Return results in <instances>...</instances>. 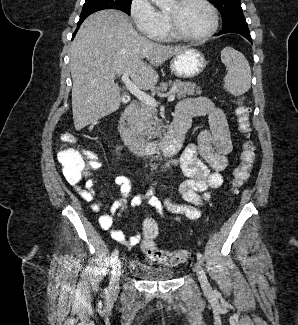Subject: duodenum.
<instances>
[{"instance_id":"duodenum-1","label":"duodenum","mask_w":298,"mask_h":325,"mask_svg":"<svg viewBox=\"0 0 298 325\" xmlns=\"http://www.w3.org/2000/svg\"><path fill=\"white\" fill-rule=\"evenodd\" d=\"M137 102L129 104L121 114L118 130L124 144L140 156H173L182 146L184 135L190 127L194 116L202 114L201 108L188 101L181 102L176 108L173 122L164 138L157 142L140 139L130 128L131 117L135 114Z\"/></svg>"}]
</instances>
